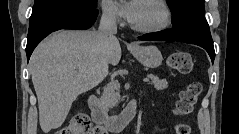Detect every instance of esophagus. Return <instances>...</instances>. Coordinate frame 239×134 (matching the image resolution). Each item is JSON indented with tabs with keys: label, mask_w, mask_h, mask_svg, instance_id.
<instances>
[{
	"label": "esophagus",
	"mask_w": 239,
	"mask_h": 134,
	"mask_svg": "<svg viewBox=\"0 0 239 134\" xmlns=\"http://www.w3.org/2000/svg\"><path fill=\"white\" fill-rule=\"evenodd\" d=\"M130 46H131V47H134V46H136V44H135L134 42H131V43H130Z\"/></svg>",
	"instance_id": "obj_1"
}]
</instances>
